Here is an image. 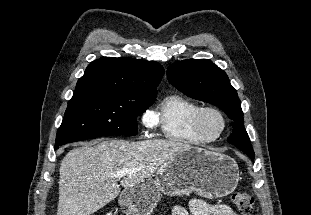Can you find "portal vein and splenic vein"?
I'll use <instances>...</instances> for the list:
<instances>
[{
	"instance_id": "1",
	"label": "portal vein and splenic vein",
	"mask_w": 311,
	"mask_h": 215,
	"mask_svg": "<svg viewBox=\"0 0 311 215\" xmlns=\"http://www.w3.org/2000/svg\"><path fill=\"white\" fill-rule=\"evenodd\" d=\"M136 171H137L136 169H132V170L131 169H122L115 174V177L121 178V177H124L128 174L134 173Z\"/></svg>"
}]
</instances>
